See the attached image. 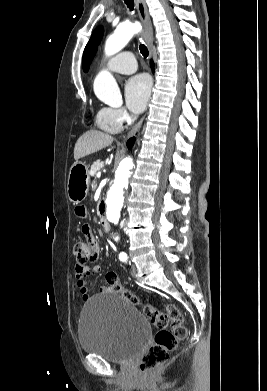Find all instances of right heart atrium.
<instances>
[{
    "mask_svg": "<svg viewBox=\"0 0 267 391\" xmlns=\"http://www.w3.org/2000/svg\"><path fill=\"white\" fill-rule=\"evenodd\" d=\"M102 114L106 120L119 128L130 120V115L124 108L105 107Z\"/></svg>",
    "mask_w": 267,
    "mask_h": 391,
    "instance_id": "d8ad5b80",
    "label": "right heart atrium"
}]
</instances>
